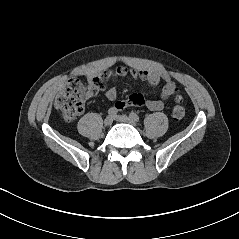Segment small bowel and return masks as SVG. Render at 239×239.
<instances>
[{
  "label": "small bowel",
  "mask_w": 239,
  "mask_h": 239,
  "mask_svg": "<svg viewBox=\"0 0 239 239\" xmlns=\"http://www.w3.org/2000/svg\"><path fill=\"white\" fill-rule=\"evenodd\" d=\"M130 75L134 79H140L149 86H156L163 82L160 99H145L140 94H132L126 101H116L113 108L121 111L127 106H145L152 111H160L164 108V102L176 96L178 88L171 77L166 73H159L155 71L128 69L125 66H119L114 72L106 71L100 74H90L87 76L89 86L91 87L90 95L98 93L99 88L97 81L102 82L112 78H122ZM105 96L110 101H115L117 98V91L114 87L108 88L105 91Z\"/></svg>",
  "instance_id": "obj_1"
}]
</instances>
